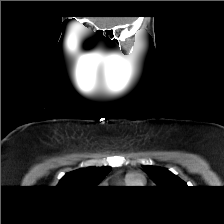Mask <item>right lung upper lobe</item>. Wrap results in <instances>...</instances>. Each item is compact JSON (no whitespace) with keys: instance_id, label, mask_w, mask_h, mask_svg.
I'll list each match as a JSON object with an SVG mask.
<instances>
[{"instance_id":"obj_1","label":"right lung upper lobe","mask_w":224,"mask_h":224,"mask_svg":"<svg viewBox=\"0 0 224 224\" xmlns=\"http://www.w3.org/2000/svg\"><path fill=\"white\" fill-rule=\"evenodd\" d=\"M111 167H88L66 173L58 186L68 189H83L96 187L97 184L110 172Z\"/></svg>"}]
</instances>
